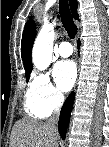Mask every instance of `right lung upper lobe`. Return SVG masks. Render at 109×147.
I'll return each mask as SVG.
<instances>
[{
    "label": "right lung upper lobe",
    "mask_w": 109,
    "mask_h": 147,
    "mask_svg": "<svg viewBox=\"0 0 109 147\" xmlns=\"http://www.w3.org/2000/svg\"><path fill=\"white\" fill-rule=\"evenodd\" d=\"M69 4L74 18L78 19L79 18V15L77 14L78 2L76 0H69ZM35 35H36V25L35 22L32 19H30L26 23V26L24 28L22 42H21V55L26 69V74L31 73L33 68L31 61V51H32Z\"/></svg>",
    "instance_id": "1"
}]
</instances>
